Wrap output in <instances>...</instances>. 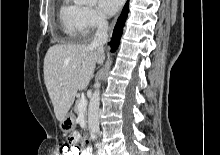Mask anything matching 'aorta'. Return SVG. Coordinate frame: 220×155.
Instances as JSON below:
<instances>
[{"instance_id":"762f6f07","label":"aorta","mask_w":220,"mask_h":155,"mask_svg":"<svg viewBox=\"0 0 220 155\" xmlns=\"http://www.w3.org/2000/svg\"><path fill=\"white\" fill-rule=\"evenodd\" d=\"M81 3L92 5L96 0H80ZM99 105H100V83L96 82L95 90L91 96L88 110V128L91 134L99 132Z\"/></svg>"}]
</instances>
